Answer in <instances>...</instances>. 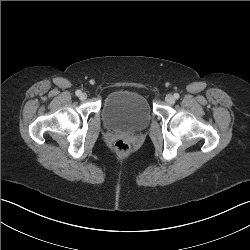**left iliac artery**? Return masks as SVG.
I'll list each match as a JSON object with an SVG mask.
<instances>
[{
  "label": "left iliac artery",
  "instance_id": "44dca946",
  "mask_svg": "<svg viewBox=\"0 0 250 250\" xmlns=\"http://www.w3.org/2000/svg\"><path fill=\"white\" fill-rule=\"evenodd\" d=\"M179 97H180V96H179L178 93H175V94H174V98H175V99H178Z\"/></svg>",
  "mask_w": 250,
  "mask_h": 250
}]
</instances>
